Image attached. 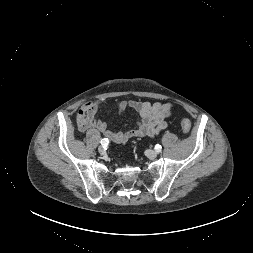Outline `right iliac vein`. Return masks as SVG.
Returning a JSON list of instances; mask_svg holds the SVG:
<instances>
[{
	"label": "right iliac vein",
	"mask_w": 253,
	"mask_h": 253,
	"mask_svg": "<svg viewBox=\"0 0 253 253\" xmlns=\"http://www.w3.org/2000/svg\"><path fill=\"white\" fill-rule=\"evenodd\" d=\"M98 151H99V153H100L101 155L106 154V150H105L104 147H102V146H100V147L98 148Z\"/></svg>",
	"instance_id": "1"
}]
</instances>
